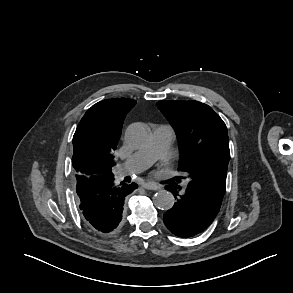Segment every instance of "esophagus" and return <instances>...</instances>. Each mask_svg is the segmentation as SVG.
I'll use <instances>...</instances> for the list:
<instances>
[{
  "mask_svg": "<svg viewBox=\"0 0 293 293\" xmlns=\"http://www.w3.org/2000/svg\"><path fill=\"white\" fill-rule=\"evenodd\" d=\"M142 187L144 189H147V190H158L160 189V186L156 185V184H153V183H145L142 185Z\"/></svg>",
  "mask_w": 293,
  "mask_h": 293,
  "instance_id": "obj_1",
  "label": "esophagus"
}]
</instances>
